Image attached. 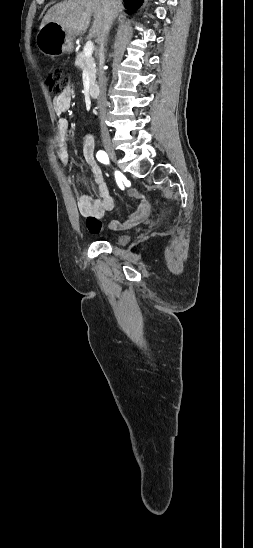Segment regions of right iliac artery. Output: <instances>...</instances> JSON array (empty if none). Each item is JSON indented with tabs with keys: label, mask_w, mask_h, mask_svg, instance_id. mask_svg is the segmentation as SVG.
I'll return each instance as SVG.
<instances>
[{
	"label": "right iliac artery",
	"mask_w": 253,
	"mask_h": 548,
	"mask_svg": "<svg viewBox=\"0 0 253 548\" xmlns=\"http://www.w3.org/2000/svg\"><path fill=\"white\" fill-rule=\"evenodd\" d=\"M96 158L98 161H100L101 163L103 164H109V158H108V155L105 151L103 150H99L96 154ZM115 176H116V181L119 185H121V179H120V174L119 172H116L115 173Z\"/></svg>",
	"instance_id": "obj_1"
}]
</instances>
